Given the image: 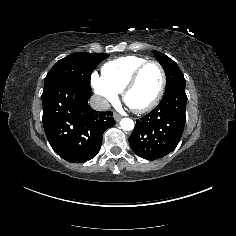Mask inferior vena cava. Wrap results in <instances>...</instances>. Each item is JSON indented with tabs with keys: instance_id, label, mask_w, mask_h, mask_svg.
<instances>
[{
	"instance_id": "602c4592",
	"label": "inferior vena cava",
	"mask_w": 236,
	"mask_h": 236,
	"mask_svg": "<svg viewBox=\"0 0 236 236\" xmlns=\"http://www.w3.org/2000/svg\"><path fill=\"white\" fill-rule=\"evenodd\" d=\"M89 103L90 106L96 111H106L110 109V103L106 99L98 95H93L90 98Z\"/></svg>"
}]
</instances>
